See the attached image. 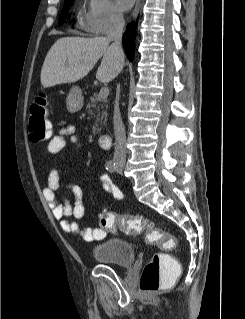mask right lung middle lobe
Masks as SVG:
<instances>
[{
  "mask_svg": "<svg viewBox=\"0 0 245 319\" xmlns=\"http://www.w3.org/2000/svg\"><path fill=\"white\" fill-rule=\"evenodd\" d=\"M73 2H74V0H65L64 9H63L61 17L59 19V24L60 25L63 23V17L67 14V12L69 11V9H70V7H71Z\"/></svg>",
  "mask_w": 245,
  "mask_h": 319,
  "instance_id": "1",
  "label": "right lung middle lobe"
}]
</instances>
